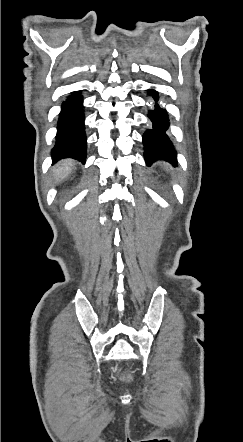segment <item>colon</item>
<instances>
[{
    "label": "colon",
    "mask_w": 243,
    "mask_h": 442,
    "mask_svg": "<svg viewBox=\"0 0 243 442\" xmlns=\"http://www.w3.org/2000/svg\"><path fill=\"white\" fill-rule=\"evenodd\" d=\"M117 371L120 372V368H117ZM121 377H122L123 379H125V380H129V379H130V376L127 375V374H121Z\"/></svg>",
    "instance_id": "obj_1"
}]
</instances>
